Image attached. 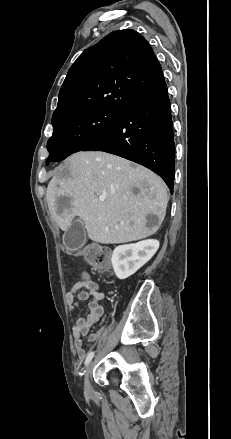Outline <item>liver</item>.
<instances>
[{"instance_id": "obj_1", "label": "liver", "mask_w": 231, "mask_h": 439, "mask_svg": "<svg viewBox=\"0 0 231 439\" xmlns=\"http://www.w3.org/2000/svg\"><path fill=\"white\" fill-rule=\"evenodd\" d=\"M46 200L61 230L67 231L78 216L92 241L117 244L154 234L165 217L168 196L163 180L149 169L91 151L71 155L58 168ZM149 214L158 218L156 226L147 225Z\"/></svg>"}]
</instances>
